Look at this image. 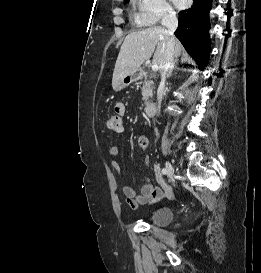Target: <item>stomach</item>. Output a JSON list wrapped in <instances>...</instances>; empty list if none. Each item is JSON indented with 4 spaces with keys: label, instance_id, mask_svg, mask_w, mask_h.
Returning <instances> with one entry per match:
<instances>
[{
    "label": "stomach",
    "instance_id": "stomach-1",
    "mask_svg": "<svg viewBox=\"0 0 261 273\" xmlns=\"http://www.w3.org/2000/svg\"><path fill=\"white\" fill-rule=\"evenodd\" d=\"M141 76V71L140 69L137 70L135 73H133L132 75H128L126 77H124L121 82L119 83V85L117 86V89H121L125 86H128L130 83L137 81Z\"/></svg>",
    "mask_w": 261,
    "mask_h": 273
}]
</instances>
